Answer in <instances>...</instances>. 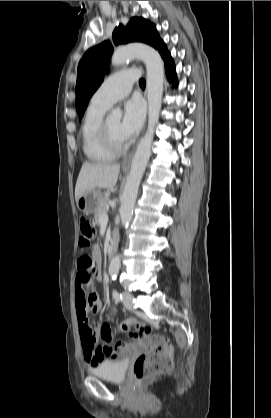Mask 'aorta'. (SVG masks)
Listing matches in <instances>:
<instances>
[{
    "label": "aorta",
    "instance_id": "aorta-1",
    "mask_svg": "<svg viewBox=\"0 0 271 418\" xmlns=\"http://www.w3.org/2000/svg\"><path fill=\"white\" fill-rule=\"evenodd\" d=\"M132 58L141 59L147 69V99H148V126L134 154L130 173L128 175L120 207V217L123 226L127 227L135 206L139 185L145 172L151 155V146L154 137L155 126L159 120L162 105L164 64L160 54L152 47L144 44H132L118 48L111 57V64L119 66ZM122 111L113 109L110 119L120 121ZM120 268V256L112 258L109 265L110 276H116Z\"/></svg>",
    "mask_w": 271,
    "mask_h": 418
}]
</instances>
